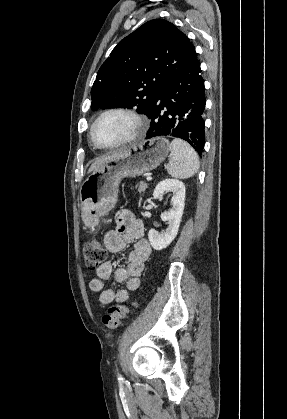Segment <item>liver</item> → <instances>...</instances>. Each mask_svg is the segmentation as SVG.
<instances>
[{"label":"liver","mask_w":287,"mask_h":419,"mask_svg":"<svg viewBox=\"0 0 287 419\" xmlns=\"http://www.w3.org/2000/svg\"><path fill=\"white\" fill-rule=\"evenodd\" d=\"M122 150H120V151H117V152H113V153H111V154H108V155H105V156H102V157H100V158H97L93 163H92V165L90 166V168H89V170H88V172L90 173V172H92V171H94V170H96L97 168H99L100 166H102L104 163H106V162H108L109 160H111V159H113L114 157H116L120 152H121Z\"/></svg>","instance_id":"liver-1"}]
</instances>
